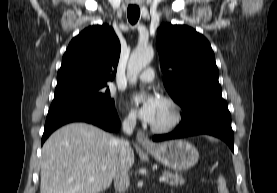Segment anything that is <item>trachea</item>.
<instances>
[{
  "label": "trachea",
  "mask_w": 277,
  "mask_h": 193,
  "mask_svg": "<svg viewBox=\"0 0 277 193\" xmlns=\"http://www.w3.org/2000/svg\"><path fill=\"white\" fill-rule=\"evenodd\" d=\"M140 16V9L138 6H128L127 17L129 22L134 25L138 21Z\"/></svg>",
  "instance_id": "obj_1"
}]
</instances>
